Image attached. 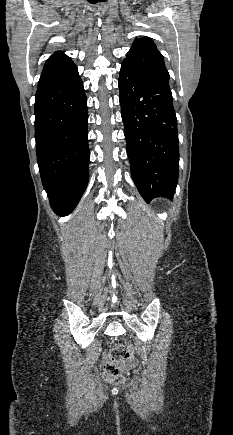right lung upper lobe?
Masks as SVG:
<instances>
[{
    "label": "right lung upper lobe",
    "instance_id": "cb5924a9",
    "mask_svg": "<svg viewBox=\"0 0 233 435\" xmlns=\"http://www.w3.org/2000/svg\"><path fill=\"white\" fill-rule=\"evenodd\" d=\"M78 73L74 62L62 51H57L46 61L37 92L49 88Z\"/></svg>",
    "mask_w": 233,
    "mask_h": 435
}]
</instances>
